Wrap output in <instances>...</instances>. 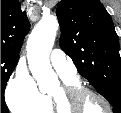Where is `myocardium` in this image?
<instances>
[{"label": "myocardium", "mask_w": 121, "mask_h": 113, "mask_svg": "<svg viewBox=\"0 0 121 113\" xmlns=\"http://www.w3.org/2000/svg\"><path fill=\"white\" fill-rule=\"evenodd\" d=\"M84 95L97 97L105 106V113H111V105L102 94L78 84L63 85L50 99L56 113H72L70 111L75 109L76 99Z\"/></svg>", "instance_id": "obj_1"}]
</instances>
